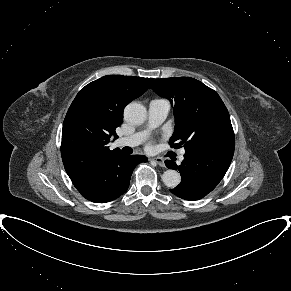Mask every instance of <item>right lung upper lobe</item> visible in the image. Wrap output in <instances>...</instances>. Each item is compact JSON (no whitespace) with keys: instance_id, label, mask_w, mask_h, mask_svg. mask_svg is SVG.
<instances>
[{"instance_id":"cb5924a9","label":"right lung upper lobe","mask_w":291,"mask_h":291,"mask_svg":"<svg viewBox=\"0 0 291 291\" xmlns=\"http://www.w3.org/2000/svg\"><path fill=\"white\" fill-rule=\"evenodd\" d=\"M153 78L108 75L95 80L75 97L66 114L61 155L65 170L75 187L111 155L110 138L123 121V110L145 93Z\"/></svg>"}]
</instances>
